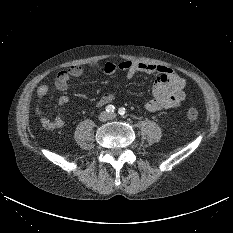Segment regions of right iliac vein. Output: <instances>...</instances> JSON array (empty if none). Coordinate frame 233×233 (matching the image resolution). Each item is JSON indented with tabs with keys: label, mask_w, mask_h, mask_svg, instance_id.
Returning <instances> with one entry per match:
<instances>
[{
	"label": "right iliac vein",
	"mask_w": 233,
	"mask_h": 233,
	"mask_svg": "<svg viewBox=\"0 0 233 233\" xmlns=\"http://www.w3.org/2000/svg\"><path fill=\"white\" fill-rule=\"evenodd\" d=\"M109 119V114L107 112H102L100 115H99V120L100 121H107Z\"/></svg>",
	"instance_id": "1"
}]
</instances>
